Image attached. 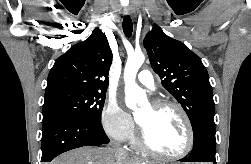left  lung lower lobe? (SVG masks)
<instances>
[{"label": "left lung lower lobe", "mask_w": 251, "mask_h": 164, "mask_svg": "<svg viewBox=\"0 0 251 164\" xmlns=\"http://www.w3.org/2000/svg\"><path fill=\"white\" fill-rule=\"evenodd\" d=\"M215 130L204 127L194 135L193 150L190 156L182 162H212L215 158Z\"/></svg>", "instance_id": "obj_1"}]
</instances>
